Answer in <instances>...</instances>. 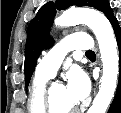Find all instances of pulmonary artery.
Wrapping results in <instances>:
<instances>
[{"label": "pulmonary artery", "instance_id": "1", "mask_svg": "<svg viewBox=\"0 0 121 113\" xmlns=\"http://www.w3.org/2000/svg\"><path fill=\"white\" fill-rule=\"evenodd\" d=\"M91 50L92 43L88 34L80 33L68 35L42 57L36 72L52 77L56 74L65 56L70 51Z\"/></svg>", "mask_w": 121, "mask_h": 113}]
</instances>
